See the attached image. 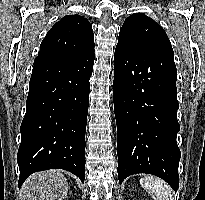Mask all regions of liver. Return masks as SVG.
<instances>
[{
  "instance_id": "6515ba94",
  "label": "liver",
  "mask_w": 205,
  "mask_h": 200,
  "mask_svg": "<svg viewBox=\"0 0 205 200\" xmlns=\"http://www.w3.org/2000/svg\"><path fill=\"white\" fill-rule=\"evenodd\" d=\"M68 193V181L61 170H49L32 174L23 184V200H64Z\"/></svg>"
}]
</instances>
